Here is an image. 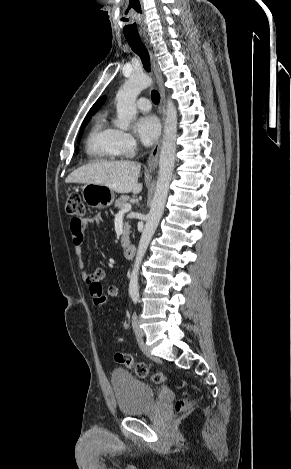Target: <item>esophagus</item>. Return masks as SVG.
Returning a JSON list of instances; mask_svg holds the SVG:
<instances>
[{
	"label": "esophagus",
	"mask_w": 291,
	"mask_h": 469,
	"mask_svg": "<svg viewBox=\"0 0 291 469\" xmlns=\"http://www.w3.org/2000/svg\"><path fill=\"white\" fill-rule=\"evenodd\" d=\"M143 42H144L145 46L147 47V49L149 51V55H150V58H151L152 69H153V72H154L155 77L157 79L158 86H159V90H160V114H161V118H162V125H164V120H165V93H164L163 75H162V72L159 68L157 59H156V57H155V55H154V53L151 49V44H150L149 40L147 38H145V39H143ZM160 146H161V139L155 144V146L153 147V149H152V151L149 155L148 162H147V165H148L149 168L157 167L158 160H159Z\"/></svg>",
	"instance_id": "34e87169"
}]
</instances>
